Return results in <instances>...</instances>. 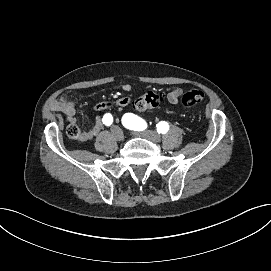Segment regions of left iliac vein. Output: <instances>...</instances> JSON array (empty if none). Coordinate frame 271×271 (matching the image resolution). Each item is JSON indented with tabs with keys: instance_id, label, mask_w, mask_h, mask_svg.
Wrapping results in <instances>:
<instances>
[{
	"instance_id": "1",
	"label": "left iliac vein",
	"mask_w": 271,
	"mask_h": 271,
	"mask_svg": "<svg viewBox=\"0 0 271 271\" xmlns=\"http://www.w3.org/2000/svg\"><path fill=\"white\" fill-rule=\"evenodd\" d=\"M134 135L146 138L152 142H160L161 141L160 135L154 131L147 130V131H142V132H135Z\"/></svg>"
}]
</instances>
